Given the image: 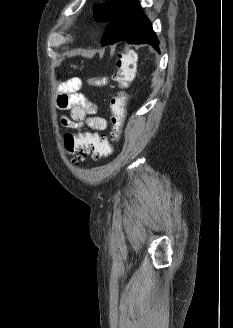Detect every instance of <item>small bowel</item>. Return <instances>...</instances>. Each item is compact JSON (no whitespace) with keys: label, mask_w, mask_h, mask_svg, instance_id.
Here are the masks:
<instances>
[{"label":"small bowel","mask_w":233,"mask_h":328,"mask_svg":"<svg viewBox=\"0 0 233 328\" xmlns=\"http://www.w3.org/2000/svg\"><path fill=\"white\" fill-rule=\"evenodd\" d=\"M81 85V80L74 77L63 82L58 89V108L70 110V118H61L62 125L70 129L87 126L95 131L106 130V119L97 116L96 104L79 92Z\"/></svg>","instance_id":"obj_1"}]
</instances>
